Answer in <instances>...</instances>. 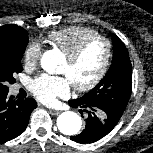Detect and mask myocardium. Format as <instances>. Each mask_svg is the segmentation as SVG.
Wrapping results in <instances>:
<instances>
[{"mask_svg":"<svg viewBox=\"0 0 153 153\" xmlns=\"http://www.w3.org/2000/svg\"><path fill=\"white\" fill-rule=\"evenodd\" d=\"M96 41H102L106 45V56L104 62L96 76L91 81L84 85L73 84L74 89L78 92H88L94 89L103 80L111 65L113 57V44L110 39L98 34L83 40L75 49H73L70 53L66 55V59L68 60V62L74 63L80 58V56L84 53L88 46Z\"/></svg>","mask_w":153,"mask_h":153,"instance_id":"1","label":"myocardium"}]
</instances>
